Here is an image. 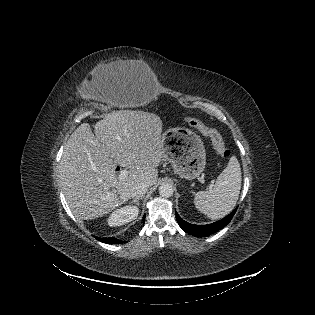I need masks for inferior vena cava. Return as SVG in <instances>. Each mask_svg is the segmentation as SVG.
I'll return each instance as SVG.
<instances>
[{"mask_svg":"<svg viewBox=\"0 0 315 315\" xmlns=\"http://www.w3.org/2000/svg\"><path fill=\"white\" fill-rule=\"evenodd\" d=\"M150 187V183L148 182H141L138 185L134 186L131 192V196L134 198H140L145 195Z\"/></svg>","mask_w":315,"mask_h":315,"instance_id":"obj_1","label":"inferior vena cava"}]
</instances>
